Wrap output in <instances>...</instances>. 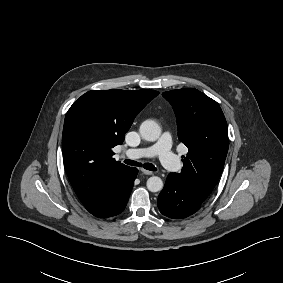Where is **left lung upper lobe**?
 Segmentation results:
<instances>
[{"mask_svg":"<svg viewBox=\"0 0 283 283\" xmlns=\"http://www.w3.org/2000/svg\"><path fill=\"white\" fill-rule=\"evenodd\" d=\"M173 106L178 138L188 147L181 173H175L199 200L217 184L228 151L226 119L213 99L195 88L162 93Z\"/></svg>","mask_w":283,"mask_h":283,"instance_id":"obj_1","label":"left lung upper lobe"}]
</instances>
